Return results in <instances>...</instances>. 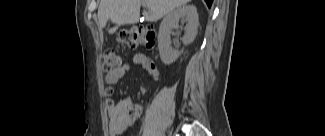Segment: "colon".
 Wrapping results in <instances>:
<instances>
[{
	"label": "colon",
	"instance_id": "colon-1",
	"mask_svg": "<svg viewBox=\"0 0 325 136\" xmlns=\"http://www.w3.org/2000/svg\"><path fill=\"white\" fill-rule=\"evenodd\" d=\"M117 41L128 49L145 47L153 49L156 45V32L153 26H131L118 33ZM121 64L119 56L114 50L108 49L103 56V69L111 72Z\"/></svg>",
	"mask_w": 325,
	"mask_h": 136
}]
</instances>
